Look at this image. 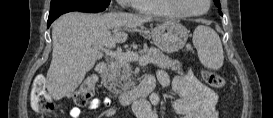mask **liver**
I'll list each match as a JSON object with an SVG mask.
<instances>
[{"instance_id": "obj_1", "label": "liver", "mask_w": 273, "mask_h": 118, "mask_svg": "<svg viewBox=\"0 0 273 118\" xmlns=\"http://www.w3.org/2000/svg\"><path fill=\"white\" fill-rule=\"evenodd\" d=\"M151 16L110 12L103 15L71 12L61 16L52 29V61L47 72V90L55 99L70 98L86 73L103 57L96 47H115L125 42L123 26L135 28ZM116 29L111 34L110 29Z\"/></svg>"}]
</instances>
